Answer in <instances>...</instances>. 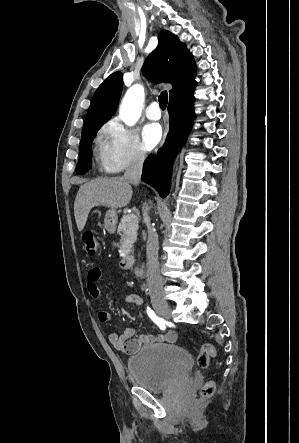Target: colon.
Instances as JSON below:
<instances>
[{"label":"colon","instance_id":"5ec220e1","mask_svg":"<svg viewBox=\"0 0 299 443\" xmlns=\"http://www.w3.org/2000/svg\"><path fill=\"white\" fill-rule=\"evenodd\" d=\"M82 241L85 251L88 255L93 256L99 249V241L96 233L92 230H86L82 234ZM216 354L215 348L211 344H203L200 348L197 362L199 367L207 368L209 366L211 358ZM215 392V383L208 381L202 388L201 397L203 399L211 397Z\"/></svg>","mask_w":299,"mask_h":443}]
</instances>
